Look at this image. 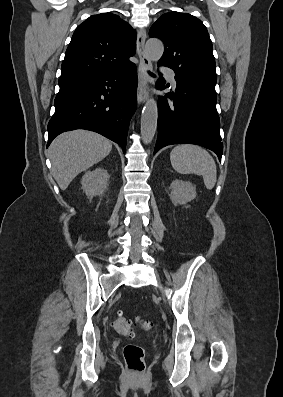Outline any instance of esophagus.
Instances as JSON below:
<instances>
[{
	"label": "esophagus",
	"mask_w": 283,
	"mask_h": 397,
	"mask_svg": "<svg viewBox=\"0 0 283 397\" xmlns=\"http://www.w3.org/2000/svg\"><path fill=\"white\" fill-rule=\"evenodd\" d=\"M145 39L146 33L144 30H138L137 33V52L140 59L138 67V87H137V100L142 104L148 98V83L150 81L147 71L152 69V63L145 52Z\"/></svg>",
	"instance_id": "obj_1"
}]
</instances>
